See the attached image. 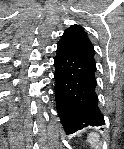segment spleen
<instances>
[{"label":"spleen","instance_id":"spleen-1","mask_svg":"<svg viewBox=\"0 0 124 149\" xmlns=\"http://www.w3.org/2000/svg\"><path fill=\"white\" fill-rule=\"evenodd\" d=\"M92 135V134H91ZM93 135H95V137L94 138H88V141H89V143L92 145V146H95V144H97L98 143V136L96 135V134H93ZM96 147V149H98L97 147L98 146H95Z\"/></svg>","mask_w":124,"mask_h":149}]
</instances>
